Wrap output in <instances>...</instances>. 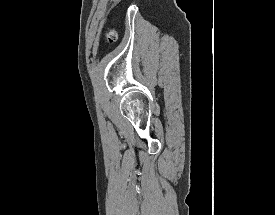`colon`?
Wrapping results in <instances>:
<instances>
[{"instance_id":"5ec220e1","label":"colon","mask_w":275,"mask_h":215,"mask_svg":"<svg viewBox=\"0 0 275 215\" xmlns=\"http://www.w3.org/2000/svg\"><path fill=\"white\" fill-rule=\"evenodd\" d=\"M106 38L108 42H114L116 40V31L114 28H109L107 30Z\"/></svg>"}]
</instances>
